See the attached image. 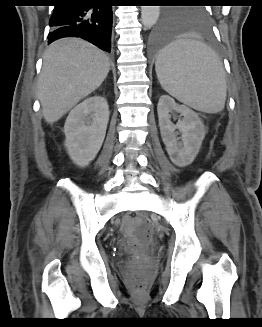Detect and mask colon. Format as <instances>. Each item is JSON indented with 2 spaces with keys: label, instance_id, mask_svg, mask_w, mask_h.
<instances>
[{
  "label": "colon",
  "instance_id": "colon-1",
  "mask_svg": "<svg viewBox=\"0 0 262 327\" xmlns=\"http://www.w3.org/2000/svg\"><path fill=\"white\" fill-rule=\"evenodd\" d=\"M125 232L134 245H146L152 237V226L150 221L144 216L130 215L124 225ZM133 287L136 291H141L143 285L137 279H134Z\"/></svg>",
  "mask_w": 262,
  "mask_h": 327
}]
</instances>
